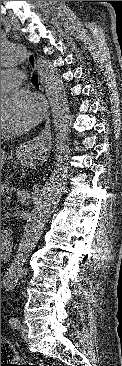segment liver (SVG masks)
I'll return each mask as SVG.
<instances>
[{
    "label": "liver",
    "instance_id": "obj_1",
    "mask_svg": "<svg viewBox=\"0 0 122 366\" xmlns=\"http://www.w3.org/2000/svg\"><path fill=\"white\" fill-rule=\"evenodd\" d=\"M5 159H6V153L5 151L1 150V170L5 164Z\"/></svg>",
    "mask_w": 122,
    "mask_h": 366
}]
</instances>
